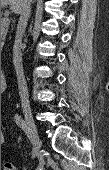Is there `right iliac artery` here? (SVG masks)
<instances>
[{
  "mask_svg": "<svg viewBox=\"0 0 109 170\" xmlns=\"http://www.w3.org/2000/svg\"><path fill=\"white\" fill-rule=\"evenodd\" d=\"M14 120H15V123L26 133L27 137L29 138V128L27 124L25 123V121L21 118V116L16 114L14 117Z\"/></svg>",
  "mask_w": 109,
  "mask_h": 170,
  "instance_id": "right-iliac-artery-1",
  "label": "right iliac artery"
}]
</instances>
